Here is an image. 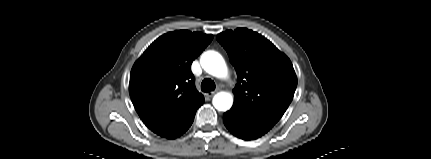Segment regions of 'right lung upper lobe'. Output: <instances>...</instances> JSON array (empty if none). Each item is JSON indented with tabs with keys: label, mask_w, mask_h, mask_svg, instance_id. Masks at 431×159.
I'll return each instance as SVG.
<instances>
[{
	"label": "right lung upper lobe",
	"mask_w": 431,
	"mask_h": 159,
	"mask_svg": "<svg viewBox=\"0 0 431 159\" xmlns=\"http://www.w3.org/2000/svg\"><path fill=\"white\" fill-rule=\"evenodd\" d=\"M211 34L180 30L156 39L135 62L129 93L144 124L172 137L204 102L191 64L212 41Z\"/></svg>",
	"instance_id": "right-lung-upper-lobe-1"
}]
</instances>
